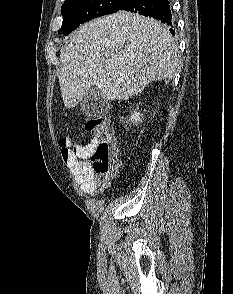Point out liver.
Listing matches in <instances>:
<instances>
[{"label": "liver", "instance_id": "6515ba94", "mask_svg": "<svg viewBox=\"0 0 233 294\" xmlns=\"http://www.w3.org/2000/svg\"><path fill=\"white\" fill-rule=\"evenodd\" d=\"M178 46L167 27L151 18L119 11L72 32L61 49L58 76L67 108L92 86L107 100H128L154 80L172 79Z\"/></svg>", "mask_w": 233, "mask_h": 294}]
</instances>
